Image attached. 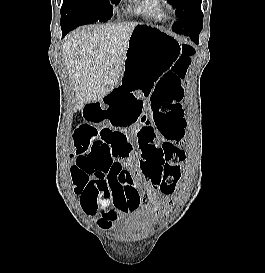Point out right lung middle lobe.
<instances>
[{
  "label": "right lung middle lobe",
  "instance_id": "right-lung-middle-lobe-1",
  "mask_svg": "<svg viewBox=\"0 0 265 273\" xmlns=\"http://www.w3.org/2000/svg\"><path fill=\"white\" fill-rule=\"evenodd\" d=\"M120 0H64L61 8L62 32L93 22H106L112 16V5Z\"/></svg>",
  "mask_w": 265,
  "mask_h": 273
}]
</instances>
